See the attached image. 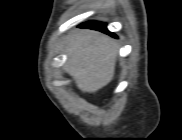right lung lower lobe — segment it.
Instances as JSON below:
<instances>
[{
	"mask_svg": "<svg viewBox=\"0 0 182 140\" xmlns=\"http://www.w3.org/2000/svg\"><path fill=\"white\" fill-rule=\"evenodd\" d=\"M80 27H85V28H91V29H96V30H100V31H104L106 33H109L106 29V25L100 22H96V21H91V22H87V23H83ZM111 34L113 37H116L114 34Z\"/></svg>",
	"mask_w": 182,
	"mask_h": 140,
	"instance_id": "98d812e1",
	"label": "right lung lower lobe"
}]
</instances>
